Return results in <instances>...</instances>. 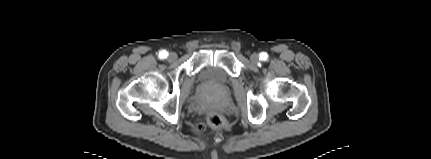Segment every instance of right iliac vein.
<instances>
[{
	"mask_svg": "<svg viewBox=\"0 0 431 159\" xmlns=\"http://www.w3.org/2000/svg\"><path fill=\"white\" fill-rule=\"evenodd\" d=\"M176 58H177V54L176 53H170L169 56H168V59L170 61H174V60H176Z\"/></svg>",
	"mask_w": 431,
	"mask_h": 159,
	"instance_id": "right-iliac-vein-1",
	"label": "right iliac vein"
}]
</instances>
